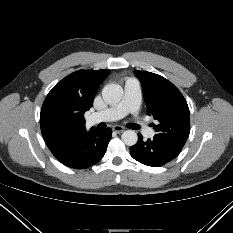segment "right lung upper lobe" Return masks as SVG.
<instances>
[{
  "mask_svg": "<svg viewBox=\"0 0 233 233\" xmlns=\"http://www.w3.org/2000/svg\"><path fill=\"white\" fill-rule=\"evenodd\" d=\"M109 73V70H79L48 93L40 113V126L52 153L87 132L84 113L92 106L100 84Z\"/></svg>",
  "mask_w": 233,
  "mask_h": 233,
  "instance_id": "obj_1",
  "label": "right lung upper lobe"
}]
</instances>
